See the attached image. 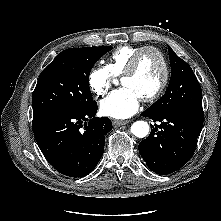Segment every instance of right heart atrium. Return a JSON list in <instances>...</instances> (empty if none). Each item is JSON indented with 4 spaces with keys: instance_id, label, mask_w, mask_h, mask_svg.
Wrapping results in <instances>:
<instances>
[{
    "instance_id": "d8ad5b80",
    "label": "right heart atrium",
    "mask_w": 221,
    "mask_h": 221,
    "mask_svg": "<svg viewBox=\"0 0 221 221\" xmlns=\"http://www.w3.org/2000/svg\"><path fill=\"white\" fill-rule=\"evenodd\" d=\"M113 79L114 76L107 67L98 66L89 73L88 85L94 94L101 96L109 90Z\"/></svg>"
}]
</instances>
